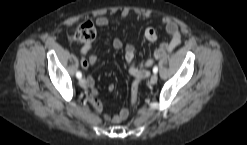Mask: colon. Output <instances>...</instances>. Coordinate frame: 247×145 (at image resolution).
<instances>
[{
    "instance_id": "1",
    "label": "colon",
    "mask_w": 247,
    "mask_h": 145,
    "mask_svg": "<svg viewBox=\"0 0 247 145\" xmlns=\"http://www.w3.org/2000/svg\"><path fill=\"white\" fill-rule=\"evenodd\" d=\"M96 36V28L94 24L89 21H83L77 27L73 39L77 42L81 43H91ZM138 93H139V82L134 81L131 89V102L135 105L138 101Z\"/></svg>"
}]
</instances>
